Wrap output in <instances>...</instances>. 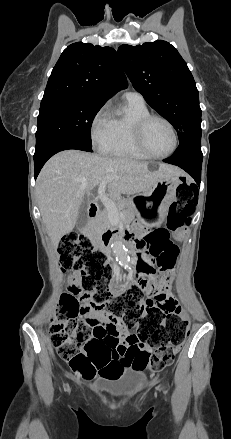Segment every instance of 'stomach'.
<instances>
[{
	"label": "stomach",
	"mask_w": 231,
	"mask_h": 439,
	"mask_svg": "<svg viewBox=\"0 0 231 439\" xmlns=\"http://www.w3.org/2000/svg\"><path fill=\"white\" fill-rule=\"evenodd\" d=\"M185 184V178L182 175H173L159 180L150 190L133 196L137 213L150 225L162 223L169 206L176 199L177 190Z\"/></svg>",
	"instance_id": "stomach-1"
}]
</instances>
